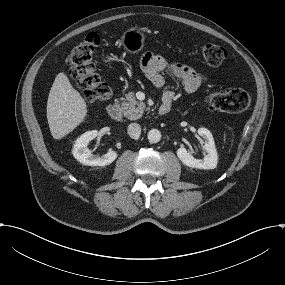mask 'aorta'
Listing matches in <instances>:
<instances>
[{"label":"aorta","instance_id":"762f6f07","mask_svg":"<svg viewBox=\"0 0 285 285\" xmlns=\"http://www.w3.org/2000/svg\"><path fill=\"white\" fill-rule=\"evenodd\" d=\"M147 138L150 143H158L161 140V133L157 129H151L147 134Z\"/></svg>","mask_w":285,"mask_h":285}]
</instances>
